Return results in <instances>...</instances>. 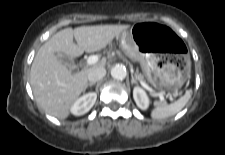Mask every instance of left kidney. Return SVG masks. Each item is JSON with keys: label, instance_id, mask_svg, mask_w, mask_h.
Returning a JSON list of instances; mask_svg holds the SVG:
<instances>
[{"label": "left kidney", "instance_id": "1", "mask_svg": "<svg viewBox=\"0 0 225 155\" xmlns=\"http://www.w3.org/2000/svg\"><path fill=\"white\" fill-rule=\"evenodd\" d=\"M133 98L140 109L146 110L149 107V103H150L149 98L146 92L142 88L140 87L134 88Z\"/></svg>", "mask_w": 225, "mask_h": 155}]
</instances>
